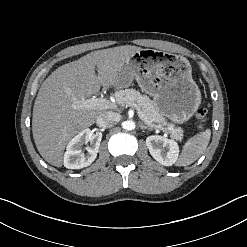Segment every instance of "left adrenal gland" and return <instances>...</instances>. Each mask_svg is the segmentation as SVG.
I'll use <instances>...</instances> for the list:
<instances>
[{
  "mask_svg": "<svg viewBox=\"0 0 247 247\" xmlns=\"http://www.w3.org/2000/svg\"><path fill=\"white\" fill-rule=\"evenodd\" d=\"M139 127L144 130V129H148V130H152L151 127L147 126V125H144L142 122H139Z\"/></svg>",
  "mask_w": 247,
  "mask_h": 247,
  "instance_id": "1",
  "label": "left adrenal gland"
}]
</instances>
